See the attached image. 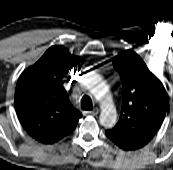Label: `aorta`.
<instances>
[{"label": "aorta", "instance_id": "1", "mask_svg": "<svg viewBox=\"0 0 173 170\" xmlns=\"http://www.w3.org/2000/svg\"><path fill=\"white\" fill-rule=\"evenodd\" d=\"M85 86L93 93V95L101 102L100 124L105 128H111L117 120L116 109L108 96V88L102 82L99 75L91 74L85 81Z\"/></svg>", "mask_w": 173, "mask_h": 170}]
</instances>
